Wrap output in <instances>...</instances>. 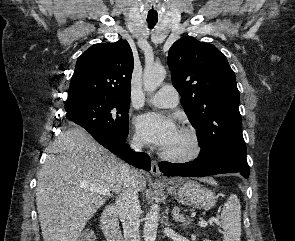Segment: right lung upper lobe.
Listing matches in <instances>:
<instances>
[{
	"label": "right lung upper lobe",
	"mask_w": 295,
	"mask_h": 241,
	"mask_svg": "<svg viewBox=\"0 0 295 241\" xmlns=\"http://www.w3.org/2000/svg\"><path fill=\"white\" fill-rule=\"evenodd\" d=\"M133 67L127 41L91 46L77 60L65 107L85 101H130Z\"/></svg>",
	"instance_id": "1"
}]
</instances>
